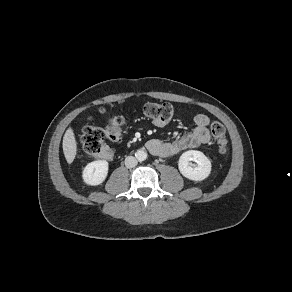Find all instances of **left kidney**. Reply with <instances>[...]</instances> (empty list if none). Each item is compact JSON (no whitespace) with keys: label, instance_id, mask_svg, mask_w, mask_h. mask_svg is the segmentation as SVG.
Masks as SVG:
<instances>
[{"label":"left kidney","instance_id":"5707ae66","mask_svg":"<svg viewBox=\"0 0 292 292\" xmlns=\"http://www.w3.org/2000/svg\"><path fill=\"white\" fill-rule=\"evenodd\" d=\"M190 161H195L193 165ZM210 160L200 151L189 150L184 152L178 162L180 173L193 181H202L207 178L211 172Z\"/></svg>","mask_w":292,"mask_h":292}]
</instances>
